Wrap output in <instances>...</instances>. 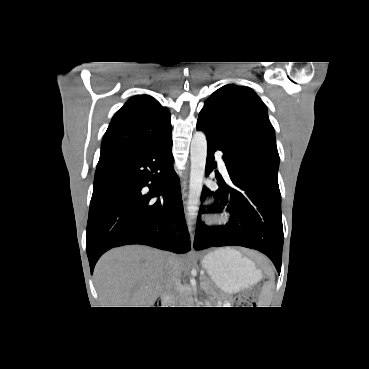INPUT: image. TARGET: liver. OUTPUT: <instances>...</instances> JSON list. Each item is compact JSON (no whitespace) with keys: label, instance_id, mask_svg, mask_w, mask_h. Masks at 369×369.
Masks as SVG:
<instances>
[{"label":"liver","instance_id":"6515ba94","mask_svg":"<svg viewBox=\"0 0 369 369\" xmlns=\"http://www.w3.org/2000/svg\"><path fill=\"white\" fill-rule=\"evenodd\" d=\"M169 258L180 278L185 262L175 254L138 245L105 253L94 269L102 307H152L164 290Z\"/></svg>","mask_w":369,"mask_h":369}]
</instances>
